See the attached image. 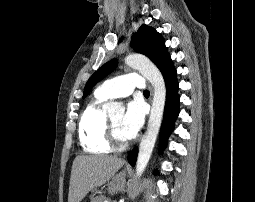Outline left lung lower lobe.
I'll return each mask as SVG.
<instances>
[{
	"mask_svg": "<svg viewBox=\"0 0 255 202\" xmlns=\"http://www.w3.org/2000/svg\"><path fill=\"white\" fill-rule=\"evenodd\" d=\"M167 95L163 117V123L160 132V149H163L167 144V139L174 128V122L179 114L180 97L178 95L179 83L177 81V73L169 78L166 82ZM138 149H133L128 157V161L134 166L137 158Z\"/></svg>",
	"mask_w": 255,
	"mask_h": 202,
	"instance_id": "1",
	"label": "left lung lower lobe"
}]
</instances>
